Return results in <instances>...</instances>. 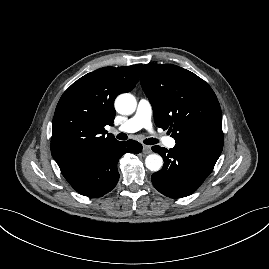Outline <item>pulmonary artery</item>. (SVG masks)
Listing matches in <instances>:
<instances>
[{
  "mask_svg": "<svg viewBox=\"0 0 269 269\" xmlns=\"http://www.w3.org/2000/svg\"><path fill=\"white\" fill-rule=\"evenodd\" d=\"M152 106L148 99L142 98L138 102L135 114L126 122L121 124L117 130L125 133L136 132L142 128L151 130ZM162 143L168 148H173L176 141L172 137H161Z\"/></svg>",
  "mask_w": 269,
  "mask_h": 269,
  "instance_id": "obj_1",
  "label": "pulmonary artery"
}]
</instances>
